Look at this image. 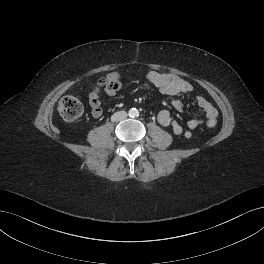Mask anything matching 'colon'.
<instances>
[{"mask_svg": "<svg viewBox=\"0 0 264 264\" xmlns=\"http://www.w3.org/2000/svg\"><path fill=\"white\" fill-rule=\"evenodd\" d=\"M106 89L109 92H116L121 88L120 77L117 73H110L105 81ZM58 110L61 117L68 122L75 121L83 115V106L81 102L73 96L63 97L58 105ZM217 124L216 119H208L207 126L210 128L215 127Z\"/></svg>", "mask_w": 264, "mask_h": 264, "instance_id": "1", "label": "colon"}]
</instances>
